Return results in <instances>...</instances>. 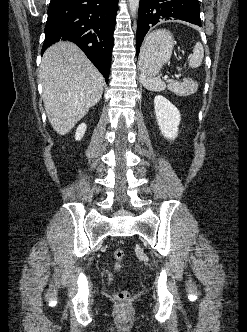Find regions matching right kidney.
Segmentation results:
<instances>
[{"instance_id":"obj_1","label":"right kidney","mask_w":247,"mask_h":332,"mask_svg":"<svg viewBox=\"0 0 247 332\" xmlns=\"http://www.w3.org/2000/svg\"><path fill=\"white\" fill-rule=\"evenodd\" d=\"M86 129H87V126L85 123L80 124L76 129L75 139L78 141L81 140L85 134Z\"/></svg>"}]
</instances>
